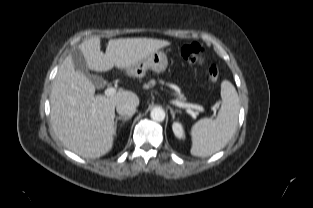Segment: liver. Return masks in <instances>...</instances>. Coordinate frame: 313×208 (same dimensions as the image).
I'll use <instances>...</instances> for the list:
<instances>
[{
  "instance_id": "6515ba94",
  "label": "liver",
  "mask_w": 313,
  "mask_h": 208,
  "mask_svg": "<svg viewBox=\"0 0 313 208\" xmlns=\"http://www.w3.org/2000/svg\"><path fill=\"white\" fill-rule=\"evenodd\" d=\"M101 39L93 37L78 48L88 67L106 72L114 66L128 69L149 54L170 45L169 41L152 38H119L108 42L101 51ZM139 105V97L122 90L113 96L95 95V86L83 73L76 71L72 56L61 64L53 81L50 96L51 124L63 145L84 158H99L108 153L114 142L115 107L118 103Z\"/></svg>"
}]
</instances>
